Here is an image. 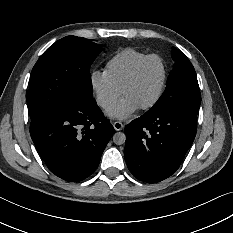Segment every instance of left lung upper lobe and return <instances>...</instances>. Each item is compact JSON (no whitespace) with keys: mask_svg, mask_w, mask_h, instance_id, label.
I'll list each match as a JSON object with an SVG mask.
<instances>
[{"mask_svg":"<svg viewBox=\"0 0 233 233\" xmlns=\"http://www.w3.org/2000/svg\"><path fill=\"white\" fill-rule=\"evenodd\" d=\"M172 58L175 64L168 76L166 89L147 114L199 111L201 94L193 65L186 55L176 48L172 50Z\"/></svg>","mask_w":233,"mask_h":233,"instance_id":"1","label":"left lung upper lobe"}]
</instances>
